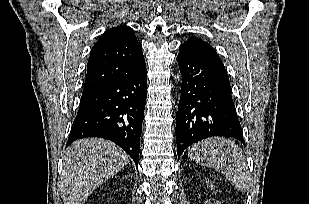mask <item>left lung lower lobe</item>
<instances>
[{
  "label": "left lung lower lobe",
  "mask_w": 309,
  "mask_h": 204,
  "mask_svg": "<svg viewBox=\"0 0 309 204\" xmlns=\"http://www.w3.org/2000/svg\"><path fill=\"white\" fill-rule=\"evenodd\" d=\"M177 61L182 75L176 115L178 157L188 146L212 136L245 143L226 69L181 46Z\"/></svg>",
  "instance_id": "left-lung-lower-lobe-1"
}]
</instances>
